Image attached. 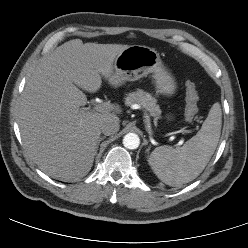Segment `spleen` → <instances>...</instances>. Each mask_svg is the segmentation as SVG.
Masks as SVG:
<instances>
[{"mask_svg": "<svg viewBox=\"0 0 248 248\" xmlns=\"http://www.w3.org/2000/svg\"><path fill=\"white\" fill-rule=\"evenodd\" d=\"M222 112L214 103L201 129L182 147L160 146L148 163L155 175L169 186H182L197 178L210 161L220 138Z\"/></svg>", "mask_w": 248, "mask_h": 248, "instance_id": "obj_1", "label": "spleen"}]
</instances>
